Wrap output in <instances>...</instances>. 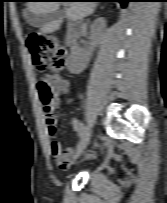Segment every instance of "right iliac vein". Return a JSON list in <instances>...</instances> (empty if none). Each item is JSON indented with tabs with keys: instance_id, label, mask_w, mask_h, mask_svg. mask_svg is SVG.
<instances>
[{
	"instance_id": "right-iliac-vein-1",
	"label": "right iliac vein",
	"mask_w": 167,
	"mask_h": 203,
	"mask_svg": "<svg viewBox=\"0 0 167 203\" xmlns=\"http://www.w3.org/2000/svg\"><path fill=\"white\" fill-rule=\"evenodd\" d=\"M91 134H92V130L90 127H88L85 132L83 133V136L81 137V140L77 146V149H76V158L78 156H80L82 154V152L86 149L89 141H90V138H91Z\"/></svg>"
}]
</instances>
